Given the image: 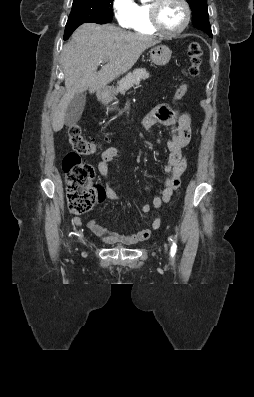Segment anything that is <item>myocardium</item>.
I'll use <instances>...</instances> for the list:
<instances>
[{"label":"myocardium","instance_id":"f54148a6","mask_svg":"<svg viewBox=\"0 0 254 397\" xmlns=\"http://www.w3.org/2000/svg\"><path fill=\"white\" fill-rule=\"evenodd\" d=\"M166 0H153L149 6L150 23L152 28L160 35L167 37H175L181 34L188 26L191 18V9L186 0H177L184 8V19L181 26L174 30L168 31L164 29L159 20V11Z\"/></svg>","mask_w":254,"mask_h":397}]
</instances>
